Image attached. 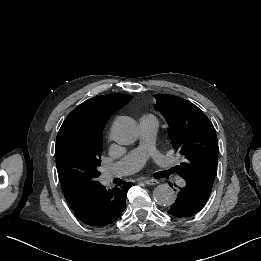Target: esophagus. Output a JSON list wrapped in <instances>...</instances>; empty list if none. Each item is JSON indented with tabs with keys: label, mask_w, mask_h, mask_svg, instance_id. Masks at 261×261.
<instances>
[{
	"label": "esophagus",
	"mask_w": 261,
	"mask_h": 261,
	"mask_svg": "<svg viewBox=\"0 0 261 261\" xmlns=\"http://www.w3.org/2000/svg\"><path fill=\"white\" fill-rule=\"evenodd\" d=\"M144 183L147 184V185H156V184L159 183V181L156 180V179H146V180L144 181Z\"/></svg>",
	"instance_id": "obj_1"
}]
</instances>
